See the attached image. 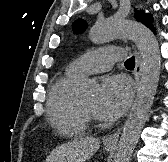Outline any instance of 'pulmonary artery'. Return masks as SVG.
<instances>
[{"instance_id":"e3ab8cb5","label":"pulmonary artery","mask_w":168,"mask_h":162,"mask_svg":"<svg viewBox=\"0 0 168 162\" xmlns=\"http://www.w3.org/2000/svg\"><path fill=\"white\" fill-rule=\"evenodd\" d=\"M124 50L109 46L98 48L75 59L69 69L78 76L99 73L109 70L113 64L121 60Z\"/></svg>"}]
</instances>
